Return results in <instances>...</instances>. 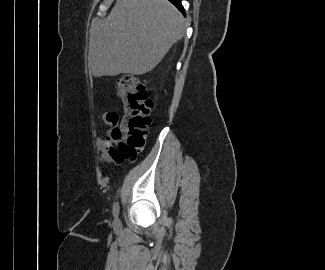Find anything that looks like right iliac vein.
<instances>
[{
    "label": "right iliac vein",
    "instance_id": "obj_1",
    "mask_svg": "<svg viewBox=\"0 0 325 270\" xmlns=\"http://www.w3.org/2000/svg\"><path fill=\"white\" fill-rule=\"evenodd\" d=\"M114 223H115V225H118L119 220L118 219H115Z\"/></svg>",
    "mask_w": 325,
    "mask_h": 270
}]
</instances>
